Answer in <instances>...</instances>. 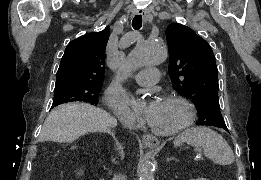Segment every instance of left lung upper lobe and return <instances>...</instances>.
Listing matches in <instances>:
<instances>
[{
  "label": "left lung upper lobe",
  "mask_w": 261,
  "mask_h": 180,
  "mask_svg": "<svg viewBox=\"0 0 261 180\" xmlns=\"http://www.w3.org/2000/svg\"><path fill=\"white\" fill-rule=\"evenodd\" d=\"M169 74L174 89L195 105L197 125L226 127L220 113L215 57L210 45L187 26L172 23L166 29Z\"/></svg>",
  "instance_id": "5c2ea615"
}]
</instances>
